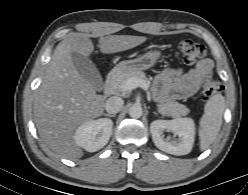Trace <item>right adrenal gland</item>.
I'll return each instance as SVG.
<instances>
[{
  "label": "right adrenal gland",
  "instance_id": "2a0ac1e0",
  "mask_svg": "<svg viewBox=\"0 0 248 195\" xmlns=\"http://www.w3.org/2000/svg\"><path fill=\"white\" fill-rule=\"evenodd\" d=\"M103 115L107 117H115V114L104 113Z\"/></svg>",
  "mask_w": 248,
  "mask_h": 195
}]
</instances>
